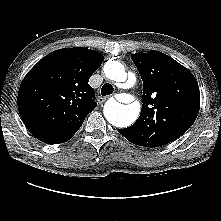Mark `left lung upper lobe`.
<instances>
[{
	"mask_svg": "<svg viewBox=\"0 0 221 221\" xmlns=\"http://www.w3.org/2000/svg\"><path fill=\"white\" fill-rule=\"evenodd\" d=\"M143 81L139 118L128 128L130 142L158 147L184 134L200 109L199 86L192 73L173 58L158 52L131 55Z\"/></svg>",
	"mask_w": 221,
	"mask_h": 221,
	"instance_id": "1",
	"label": "left lung upper lobe"
}]
</instances>
